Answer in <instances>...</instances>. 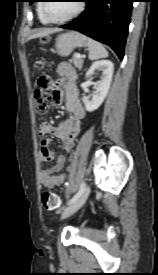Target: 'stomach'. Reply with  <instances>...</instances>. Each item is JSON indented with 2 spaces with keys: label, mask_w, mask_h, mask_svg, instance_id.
<instances>
[{
  "label": "stomach",
  "mask_w": 158,
  "mask_h": 275,
  "mask_svg": "<svg viewBox=\"0 0 158 275\" xmlns=\"http://www.w3.org/2000/svg\"><path fill=\"white\" fill-rule=\"evenodd\" d=\"M87 43V38L77 32L68 31L58 35L55 42V51L58 55L66 57L77 47H83Z\"/></svg>",
  "instance_id": "obj_1"
}]
</instances>
